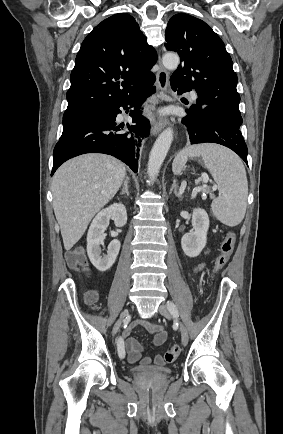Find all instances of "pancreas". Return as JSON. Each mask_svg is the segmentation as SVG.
Here are the masks:
<instances>
[{"label": "pancreas", "instance_id": "cf45deb5", "mask_svg": "<svg viewBox=\"0 0 283 434\" xmlns=\"http://www.w3.org/2000/svg\"><path fill=\"white\" fill-rule=\"evenodd\" d=\"M201 192H203V193H206V194H210L211 193V190H210V188L209 187H207V186H203V187H200V188H198ZM207 197H206V195L205 196H202V199H206Z\"/></svg>", "mask_w": 283, "mask_h": 434}]
</instances>
